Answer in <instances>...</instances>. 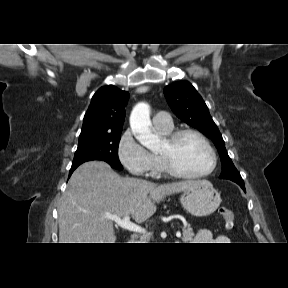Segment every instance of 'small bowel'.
<instances>
[{
  "label": "small bowel",
  "mask_w": 288,
  "mask_h": 288,
  "mask_svg": "<svg viewBox=\"0 0 288 288\" xmlns=\"http://www.w3.org/2000/svg\"><path fill=\"white\" fill-rule=\"evenodd\" d=\"M196 243H229L230 240L225 235H218L214 237L212 232L208 229H201L195 237Z\"/></svg>",
  "instance_id": "c3829d8e"
}]
</instances>
